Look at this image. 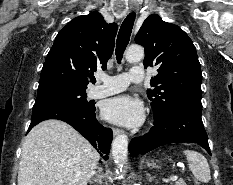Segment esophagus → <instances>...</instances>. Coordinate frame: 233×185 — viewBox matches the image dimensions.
Listing matches in <instances>:
<instances>
[{
	"label": "esophagus",
	"mask_w": 233,
	"mask_h": 185,
	"mask_svg": "<svg viewBox=\"0 0 233 185\" xmlns=\"http://www.w3.org/2000/svg\"><path fill=\"white\" fill-rule=\"evenodd\" d=\"M130 8H131L132 10H135V9H136V4L131 3V4H130ZM122 132H123V131H122L121 129H119V128H114V129H113V135H114V136H117V135L121 134Z\"/></svg>",
	"instance_id": "esophagus-1"
}]
</instances>
